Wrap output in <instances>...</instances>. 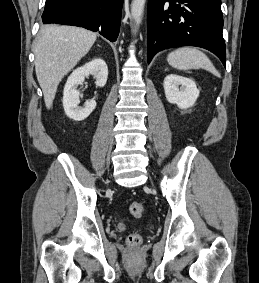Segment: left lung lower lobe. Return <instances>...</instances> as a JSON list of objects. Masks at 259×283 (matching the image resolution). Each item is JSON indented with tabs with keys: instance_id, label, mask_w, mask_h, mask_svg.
I'll use <instances>...</instances> for the list:
<instances>
[{
	"instance_id": "1",
	"label": "left lung lower lobe",
	"mask_w": 259,
	"mask_h": 283,
	"mask_svg": "<svg viewBox=\"0 0 259 283\" xmlns=\"http://www.w3.org/2000/svg\"><path fill=\"white\" fill-rule=\"evenodd\" d=\"M148 63L167 48L197 46L226 66L221 0H148Z\"/></svg>"
}]
</instances>
